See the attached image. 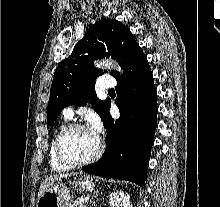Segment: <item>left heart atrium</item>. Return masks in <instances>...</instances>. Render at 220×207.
I'll use <instances>...</instances> for the list:
<instances>
[{"mask_svg": "<svg viewBox=\"0 0 220 207\" xmlns=\"http://www.w3.org/2000/svg\"><path fill=\"white\" fill-rule=\"evenodd\" d=\"M89 130L92 134H94L97 138H99V134L102 131V124L98 117H93L90 121Z\"/></svg>", "mask_w": 220, "mask_h": 207, "instance_id": "39dd6f15", "label": "left heart atrium"}]
</instances>
